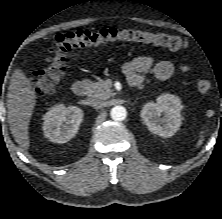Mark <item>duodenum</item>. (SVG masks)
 <instances>
[{
  "label": "duodenum",
  "instance_id": "duodenum-1",
  "mask_svg": "<svg viewBox=\"0 0 222 219\" xmlns=\"http://www.w3.org/2000/svg\"><path fill=\"white\" fill-rule=\"evenodd\" d=\"M72 91L77 96H84L87 93V85L83 81H76L72 85Z\"/></svg>",
  "mask_w": 222,
  "mask_h": 219
}]
</instances>
